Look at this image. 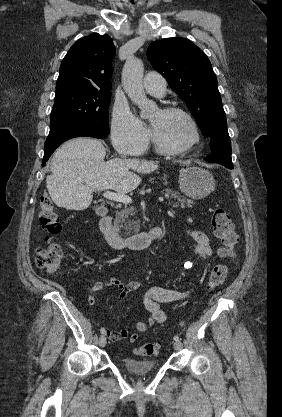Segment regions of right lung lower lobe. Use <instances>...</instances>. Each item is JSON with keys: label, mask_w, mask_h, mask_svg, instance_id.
<instances>
[{"label": "right lung lower lobe", "mask_w": 282, "mask_h": 417, "mask_svg": "<svg viewBox=\"0 0 282 417\" xmlns=\"http://www.w3.org/2000/svg\"><path fill=\"white\" fill-rule=\"evenodd\" d=\"M109 133L102 132L88 124L84 123H72L50 129L48 138L44 145V158L43 165L54 152V150L64 141L74 138V137H94L99 139H104L108 136Z\"/></svg>", "instance_id": "98d812e1"}]
</instances>
